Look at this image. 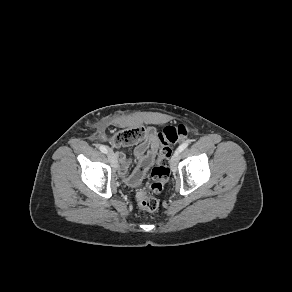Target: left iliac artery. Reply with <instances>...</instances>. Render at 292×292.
Wrapping results in <instances>:
<instances>
[{"instance_id": "1", "label": "left iliac artery", "mask_w": 292, "mask_h": 292, "mask_svg": "<svg viewBox=\"0 0 292 292\" xmlns=\"http://www.w3.org/2000/svg\"><path fill=\"white\" fill-rule=\"evenodd\" d=\"M190 144V141H185L184 143H182L176 150V154L181 153L184 149H186L188 147V145Z\"/></svg>"}]
</instances>
